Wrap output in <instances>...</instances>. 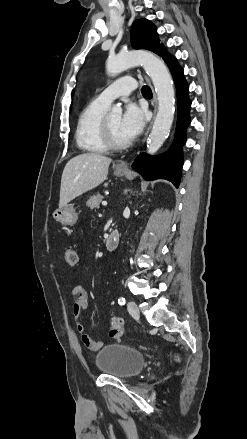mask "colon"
Instances as JSON below:
<instances>
[{
    "label": "colon",
    "instance_id": "5ec220e1",
    "mask_svg": "<svg viewBox=\"0 0 247 439\" xmlns=\"http://www.w3.org/2000/svg\"><path fill=\"white\" fill-rule=\"evenodd\" d=\"M65 260L68 265L76 266L78 264V255L72 248H68L65 252ZM110 336L119 339L123 334V321L119 317H114L111 322Z\"/></svg>",
    "mask_w": 247,
    "mask_h": 439
}]
</instances>
